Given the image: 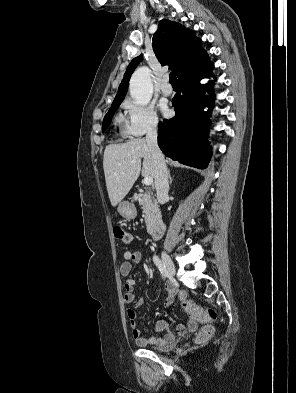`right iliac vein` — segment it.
I'll use <instances>...</instances> for the list:
<instances>
[{
	"label": "right iliac vein",
	"mask_w": 296,
	"mask_h": 393,
	"mask_svg": "<svg viewBox=\"0 0 296 393\" xmlns=\"http://www.w3.org/2000/svg\"><path fill=\"white\" fill-rule=\"evenodd\" d=\"M161 256L168 273L174 276L176 270H175V265L171 260L170 256L166 252H162Z\"/></svg>",
	"instance_id": "63e3f726"
}]
</instances>
